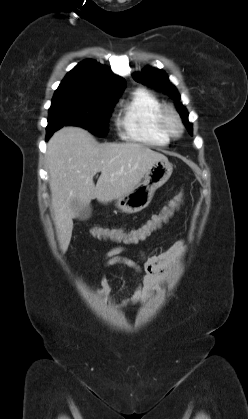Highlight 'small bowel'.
<instances>
[{
  "label": "small bowel",
  "instance_id": "small-bowel-1",
  "mask_svg": "<svg viewBox=\"0 0 248 419\" xmlns=\"http://www.w3.org/2000/svg\"><path fill=\"white\" fill-rule=\"evenodd\" d=\"M144 227L145 224L130 231L122 230L129 237L127 241L123 242L138 243L145 240L152 232L141 233ZM126 251L127 249L123 246L115 247L106 253L103 261L104 269L122 264L141 275V283L137 286L134 294L130 298L120 302L119 306L121 307L142 303L151 294L159 291L162 283L172 275L176 264L185 254L186 245L183 240H179L165 252L158 255L147 257L141 254L143 259L142 268L123 255ZM98 292L103 295L110 292V286L105 274L101 277V286L98 288Z\"/></svg>",
  "mask_w": 248,
  "mask_h": 419
}]
</instances>
